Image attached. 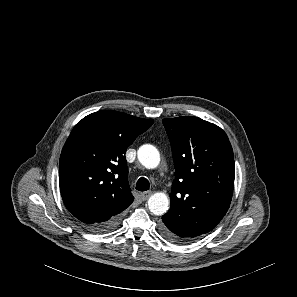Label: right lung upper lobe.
Instances as JSON below:
<instances>
[{"instance_id": "1", "label": "right lung upper lobe", "mask_w": 297, "mask_h": 297, "mask_svg": "<svg viewBox=\"0 0 297 297\" xmlns=\"http://www.w3.org/2000/svg\"><path fill=\"white\" fill-rule=\"evenodd\" d=\"M153 122L106 110L84 117L71 131L60 156L59 185L66 208L85 227L133 202L125 153Z\"/></svg>"}]
</instances>
